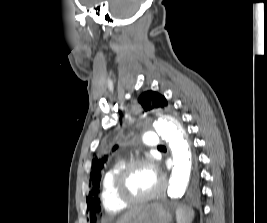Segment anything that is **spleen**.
I'll list each match as a JSON object with an SVG mask.
<instances>
[{
	"label": "spleen",
	"instance_id": "1",
	"mask_svg": "<svg viewBox=\"0 0 267 223\" xmlns=\"http://www.w3.org/2000/svg\"><path fill=\"white\" fill-rule=\"evenodd\" d=\"M194 219V211L187 206H178L176 209L177 223H191Z\"/></svg>",
	"mask_w": 267,
	"mask_h": 223
}]
</instances>
